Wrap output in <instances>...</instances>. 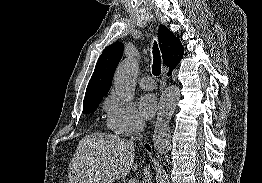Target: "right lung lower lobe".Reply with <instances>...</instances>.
Wrapping results in <instances>:
<instances>
[{
    "label": "right lung lower lobe",
    "instance_id": "obj_1",
    "mask_svg": "<svg viewBox=\"0 0 262 183\" xmlns=\"http://www.w3.org/2000/svg\"><path fill=\"white\" fill-rule=\"evenodd\" d=\"M171 73H172V70H170V71L168 72V75H170ZM145 146H146L147 149H149V151H151V149H150V147H149L148 144H146Z\"/></svg>",
    "mask_w": 262,
    "mask_h": 183
}]
</instances>
